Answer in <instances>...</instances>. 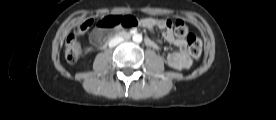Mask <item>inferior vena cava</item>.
I'll return each instance as SVG.
<instances>
[{
  "label": "inferior vena cava",
  "mask_w": 276,
  "mask_h": 120,
  "mask_svg": "<svg viewBox=\"0 0 276 120\" xmlns=\"http://www.w3.org/2000/svg\"><path fill=\"white\" fill-rule=\"evenodd\" d=\"M123 38H120V37H117V38H114L112 39L110 42H109V46L110 47H115L116 45H118L119 43L123 42Z\"/></svg>",
  "instance_id": "1"
}]
</instances>
